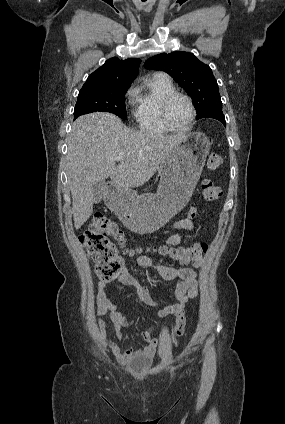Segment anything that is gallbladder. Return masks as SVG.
Masks as SVG:
<instances>
[{
    "label": "gallbladder",
    "instance_id": "gallbladder-1",
    "mask_svg": "<svg viewBox=\"0 0 285 424\" xmlns=\"http://www.w3.org/2000/svg\"><path fill=\"white\" fill-rule=\"evenodd\" d=\"M106 188H107V183L105 181H99L94 185L93 187L94 203H99L103 199Z\"/></svg>",
    "mask_w": 285,
    "mask_h": 424
}]
</instances>
